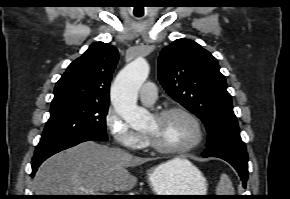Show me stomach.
Wrapping results in <instances>:
<instances>
[{"mask_svg":"<svg viewBox=\"0 0 290 199\" xmlns=\"http://www.w3.org/2000/svg\"><path fill=\"white\" fill-rule=\"evenodd\" d=\"M148 182L156 195H206L207 181L191 163L177 166L163 163L147 174ZM165 198L197 199L199 196H170Z\"/></svg>","mask_w":290,"mask_h":199,"instance_id":"0dacf381","label":"stomach"}]
</instances>
